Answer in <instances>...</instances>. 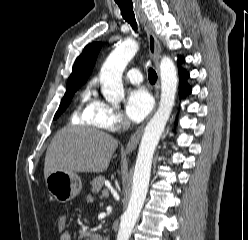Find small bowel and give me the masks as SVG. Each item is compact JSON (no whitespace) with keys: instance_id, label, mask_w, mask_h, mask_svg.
<instances>
[{"instance_id":"small-bowel-1","label":"small bowel","mask_w":248,"mask_h":240,"mask_svg":"<svg viewBox=\"0 0 248 240\" xmlns=\"http://www.w3.org/2000/svg\"><path fill=\"white\" fill-rule=\"evenodd\" d=\"M59 240H72V234L69 231H65L60 234Z\"/></svg>"}]
</instances>
